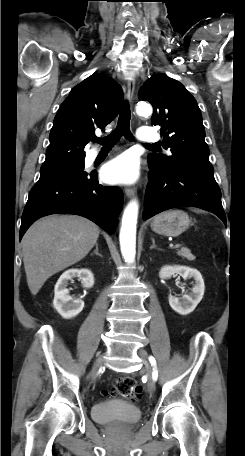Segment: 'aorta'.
I'll list each match as a JSON object with an SVG mask.
<instances>
[{"mask_svg": "<svg viewBox=\"0 0 245 456\" xmlns=\"http://www.w3.org/2000/svg\"><path fill=\"white\" fill-rule=\"evenodd\" d=\"M136 112L140 116H149L152 114V107L149 103L141 102L137 105ZM138 209V202L133 200L125 208L122 217L119 240L122 256L128 263H133L135 260Z\"/></svg>", "mask_w": 245, "mask_h": 456, "instance_id": "762f6f07", "label": "aorta"}]
</instances>
